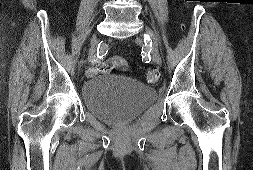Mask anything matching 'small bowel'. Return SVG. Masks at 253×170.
<instances>
[{
    "mask_svg": "<svg viewBox=\"0 0 253 170\" xmlns=\"http://www.w3.org/2000/svg\"><path fill=\"white\" fill-rule=\"evenodd\" d=\"M118 60H119V58L114 59V61H118ZM90 72H92V73L95 72V69H92Z\"/></svg>",
    "mask_w": 253,
    "mask_h": 170,
    "instance_id": "c3829d8e",
    "label": "small bowel"
}]
</instances>
